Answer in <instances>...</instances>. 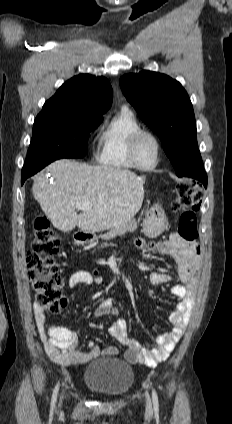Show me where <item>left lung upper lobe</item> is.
Here are the masks:
<instances>
[{
    "instance_id": "left-lung-upper-lobe-1",
    "label": "left lung upper lobe",
    "mask_w": 232,
    "mask_h": 424,
    "mask_svg": "<svg viewBox=\"0 0 232 424\" xmlns=\"http://www.w3.org/2000/svg\"><path fill=\"white\" fill-rule=\"evenodd\" d=\"M120 86L142 121L159 136L178 176L202 162L193 107L178 81L142 71L122 76Z\"/></svg>"
}]
</instances>
